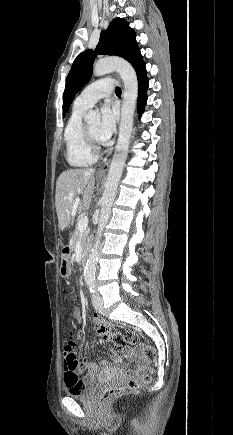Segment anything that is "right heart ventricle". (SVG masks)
Here are the masks:
<instances>
[{
	"mask_svg": "<svg viewBox=\"0 0 233 435\" xmlns=\"http://www.w3.org/2000/svg\"><path fill=\"white\" fill-rule=\"evenodd\" d=\"M87 108L74 105L64 130L66 160L73 167H89L97 160V155L89 148L83 132V114Z\"/></svg>",
	"mask_w": 233,
	"mask_h": 435,
	"instance_id": "e07e8e85",
	"label": "right heart ventricle"
}]
</instances>
